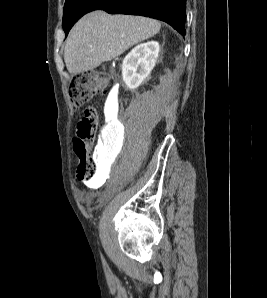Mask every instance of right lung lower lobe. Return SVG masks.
<instances>
[{
    "instance_id": "right-lung-lower-lobe-1",
    "label": "right lung lower lobe",
    "mask_w": 267,
    "mask_h": 298,
    "mask_svg": "<svg viewBox=\"0 0 267 298\" xmlns=\"http://www.w3.org/2000/svg\"><path fill=\"white\" fill-rule=\"evenodd\" d=\"M141 15L164 21L182 35L186 34V0H98L90 11Z\"/></svg>"
}]
</instances>
